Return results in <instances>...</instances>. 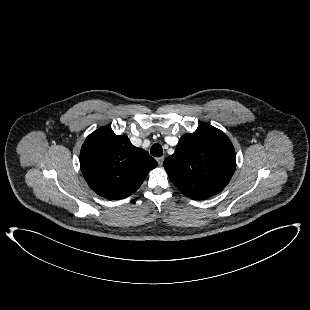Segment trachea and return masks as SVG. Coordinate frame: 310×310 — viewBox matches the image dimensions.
Returning a JSON list of instances; mask_svg holds the SVG:
<instances>
[{
  "label": "trachea",
  "mask_w": 310,
  "mask_h": 310,
  "mask_svg": "<svg viewBox=\"0 0 310 310\" xmlns=\"http://www.w3.org/2000/svg\"><path fill=\"white\" fill-rule=\"evenodd\" d=\"M150 153L154 157H161L163 155L162 146L158 143L153 144L150 149Z\"/></svg>",
  "instance_id": "obj_1"
}]
</instances>
